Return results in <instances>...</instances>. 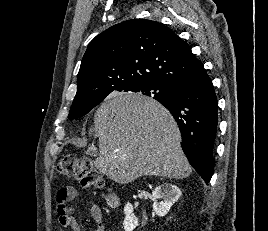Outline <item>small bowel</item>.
<instances>
[{
  "label": "small bowel",
  "instance_id": "c3829d8e",
  "mask_svg": "<svg viewBox=\"0 0 268 231\" xmlns=\"http://www.w3.org/2000/svg\"><path fill=\"white\" fill-rule=\"evenodd\" d=\"M63 192L66 194L63 196ZM80 197L79 192L71 186L64 187L59 190L56 198V214L58 223L62 228L71 229L72 231H80V226L73 215V210L67 204ZM90 216L95 223L94 231H105L103 217L100 207L93 201L88 202Z\"/></svg>",
  "mask_w": 268,
  "mask_h": 231
}]
</instances>
